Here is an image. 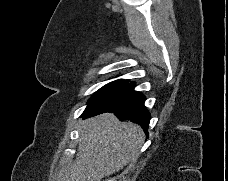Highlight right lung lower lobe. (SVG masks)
<instances>
[{
  "mask_svg": "<svg viewBox=\"0 0 228 181\" xmlns=\"http://www.w3.org/2000/svg\"><path fill=\"white\" fill-rule=\"evenodd\" d=\"M134 86V83L131 82L123 92L111 101L94 109L85 110L82 114L83 118L96 116L104 112L114 113L119 119L130 120L139 124L148 137L150 113L144 106V95L134 91Z\"/></svg>",
  "mask_w": 228,
  "mask_h": 181,
  "instance_id": "right-lung-lower-lobe-1",
  "label": "right lung lower lobe"
}]
</instances>
